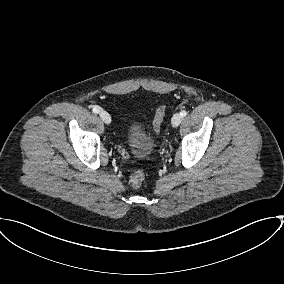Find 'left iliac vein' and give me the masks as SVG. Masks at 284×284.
<instances>
[{
    "mask_svg": "<svg viewBox=\"0 0 284 284\" xmlns=\"http://www.w3.org/2000/svg\"><path fill=\"white\" fill-rule=\"evenodd\" d=\"M181 121H182L181 115L179 113L174 114L173 117H172V120H171L172 126L173 127L179 126Z\"/></svg>",
    "mask_w": 284,
    "mask_h": 284,
    "instance_id": "1",
    "label": "left iliac vein"
}]
</instances>
